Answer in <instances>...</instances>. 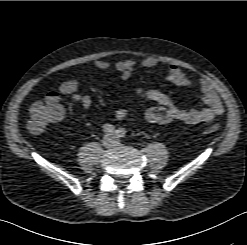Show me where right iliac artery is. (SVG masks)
I'll list each match as a JSON object with an SVG mask.
<instances>
[{
  "label": "right iliac artery",
  "instance_id": "82829eb1",
  "mask_svg": "<svg viewBox=\"0 0 247 245\" xmlns=\"http://www.w3.org/2000/svg\"><path fill=\"white\" fill-rule=\"evenodd\" d=\"M102 128L106 133H113L115 131V127L111 124H104Z\"/></svg>",
  "mask_w": 247,
  "mask_h": 245
}]
</instances>
